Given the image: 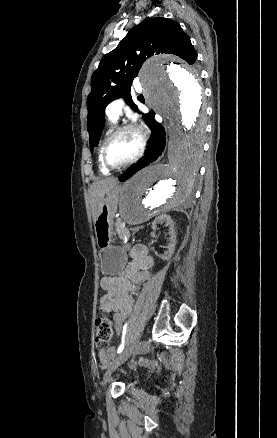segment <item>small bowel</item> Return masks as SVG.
I'll return each instance as SVG.
<instances>
[{"label": "small bowel", "mask_w": 277, "mask_h": 438, "mask_svg": "<svg viewBox=\"0 0 277 438\" xmlns=\"http://www.w3.org/2000/svg\"><path fill=\"white\" fill-rule=\"evenodd\" d=\"M130 257L131 261L127 264L123 274L107 275L100 281V286L105 291L100 299V309L104 313L113 315L117 334L121 333L125 320L132 312V294L143 281L149 278L148 270L154 263L148 249L143 245L133 246L130 250ZM115 351L113 347L99 351L100 368L109 367Z\"/></svg>", "instance_id": "c3829d8e"}]
</instances>
